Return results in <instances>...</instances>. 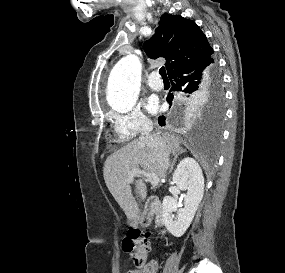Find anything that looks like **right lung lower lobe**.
<instances>
[{
	"mask_svg": "<svg viewBox=\"0 0 285 273\" xmlns=\"http://www.w3.org/2000/svg\"><path fill=\"white\" fill-rule=\"evenodd\" d=\"M214 68L215 60L212 54L177 68L169 75V79L172 83L171 91L192 94L195 91L202 89L212 78ZM172 98L173 94L167 96L169 102ZM193 103L194 102H189V104ZM165 121L166 119L163 116H160L158 119L160 126H164Z\"/></svg>",
	"mask_w": 285,
	"mask_h": 273,
	"instance_id": "obj_1",
	"label": "right lung lower lobe"
}]
</instances>
